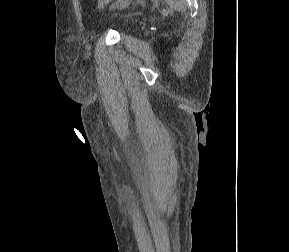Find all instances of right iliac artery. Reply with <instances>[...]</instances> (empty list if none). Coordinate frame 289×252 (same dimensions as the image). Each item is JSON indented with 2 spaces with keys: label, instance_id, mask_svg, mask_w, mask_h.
<instances>
[{
  "label": "right iliac artery",
  "instance_id": "1",
  "mask_svg": "<svg viewBox=\"0 0 289 252\" xmlns=\"http://www.w3.org/2000/svg\"><path fill=\"white\" fill-rule=\"evenodd\" d=\"M123 1H124V0H117L115 3H113V4L110 6V8H111V9L117 8L119 5L122 4Z\"/></svg>",
  "mask_w": 289,
  "mask_h": 252
}]
</instances>
